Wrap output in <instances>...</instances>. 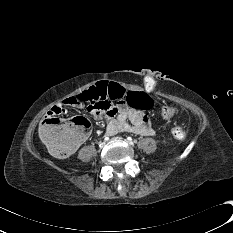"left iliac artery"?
<instances>
[{"label": "left iliac artery", "instance_id": "obj_1", "mask_svg": "<svg viewBox=\"0 0 233 233\" xmlns=\"http://www.w3.org/2000/svg\"><path fill=\"white\" fill-rule=\"evenodd\" d=\"M127 139L130 142V144H133L135 142L131 137H127Z\"/></svg>", "mask_w": 233, "mask_h": 233}]
</instances>
